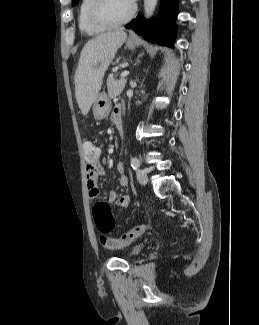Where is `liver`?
Listing matches in <instances>:
<instances>
[{
  "mask_svg": "<svg viewBox=\"0 0 259 325\" xmlns=\"http://www.w3.org/2000/svg\"><path fill=\"white\" fill-rule=\"evenodd\" d=\"M126 38L127 34L122 30L107 32L83 47L74 77L75 96L83 115L88 114L101 89L105 71Z\"/></svg>",
  "mask_w": 259,
  "mask_h": 325,
  "instance_id": "obj_1",
  "label": "liver"
}]
</instances>
